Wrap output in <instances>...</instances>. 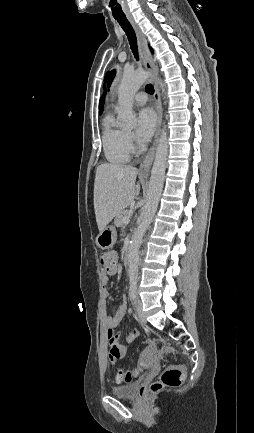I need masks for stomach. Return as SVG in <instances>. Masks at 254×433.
<instances>
[{"instance_id": "stomach-1", "label": "stomach", "mask_w": 254, "mask_h": 433, "mask_svg": "<svg viewBox=\"0 0 254 433\" xmlns=\"http://www.w3.org/2000/svg\"><path fill=\"white\" fill-rule=\"evenodd\" d=\"M116 230L113 226H107L98 234L96 238L97 246L101 249L112 247L116 242Z\"/></svg>"}]
</instances>
